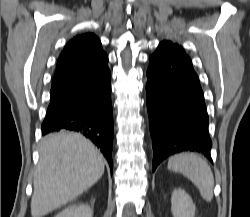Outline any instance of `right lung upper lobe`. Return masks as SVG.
<instances>
[{
	"mask_svg": "<svg viewBox=\"0 0 250 217\" xmlns=\"http://www.w3.org/2000/svg\"><path fill=\"white\" fill-rule=\"evenodd\" d=\"M105 56L101 42L94 34L76 36L66 45L58 59L52 85L84 73Z\"/></svg>",
	"mask_w": 250,
	"mask_h": 217,
	"instance_id": "obj_1",
	"label": "right lung upper lobe"
}]
</instances>
